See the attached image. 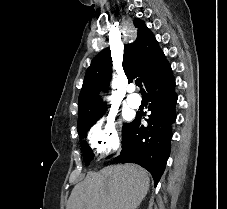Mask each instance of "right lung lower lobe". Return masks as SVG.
<instances>
[{
  "mask_svg": "<svg viewBox=\"0 0 227 209\" xmlns=\"http://www.w3.org/2000/svg\"><path fill=\"white\" fill-rule=\"evenodd\" d=\"M146 89L151 102L148 126L141 125L142 114H137L123 131L122 150L114 161L141 165L152 174L156 186L170 154L171 125L176 120L175 79L168 62L149 80Z\"/></svg>",
  "mask_w": 227,
  "mask_h": 209,
  "instance_id": "obj_1",
  "label": "right lung lower lobe"
}]
</instances>
